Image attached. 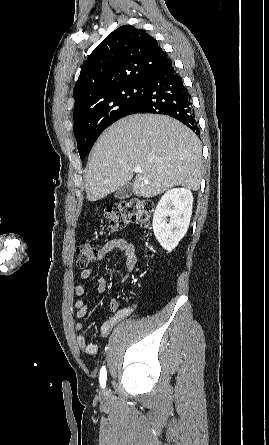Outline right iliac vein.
Masks as SVG:
<instances>
[{"instance_id": "1", "label": "right iliac vein", "mask_w": 269, "mask_h": 445, "mask_svg": "<svg viewBox=\"0 0 269 445\" xmlns=\"http://www.w3.org/2000/svg\"><path fill=\"white\" fill-rule=\"evenodd\" d=\"M102 395H103L104 397H107V396H108V390H104V391L102 392Z\"/></svg>"}]
</instances>
